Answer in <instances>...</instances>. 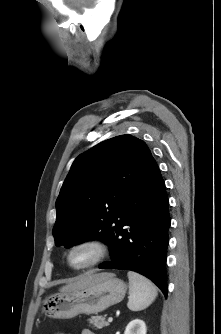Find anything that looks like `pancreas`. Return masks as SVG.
<instances>
[{
  "instance_id": "obj_1",
  "label": "pancreas",
  "mask_w": 221,
  "mask_h": 334,
  "mask_svg": "<svg viewBox=\"0 0 221 334\" xmlns=\"http://www.w3.org/2000/svg\"><path fill=\"white\" fill-rule=\"evenodd\" d=\"M89 323L93 325V327L97 329H102L103 327H106L109 325V323L106 321L105 316H92L89 320Z\"/></svg>"
}]
</instances>
